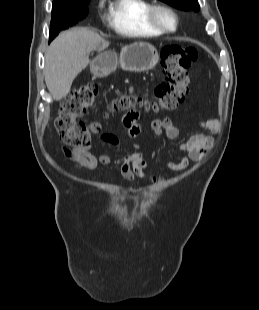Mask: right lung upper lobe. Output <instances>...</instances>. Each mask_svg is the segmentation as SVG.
Listing matches in <instances>:
<instances>
[{"mask_svg": "<svg viewBox=\"0 0 259 310\" xmlns=\"http://www.w3.org/2000/svg\"><path fill=\"white\" fill-rule=\"evenodd\" d=\"M84 1H87V0H53L52 8L78 5V4H82Z\"/></svg>", "mask_w": 259, "mask_h": 310, "instance_id": "cb5924a9", "label": "right lung upper lobe"}]
</instances>
